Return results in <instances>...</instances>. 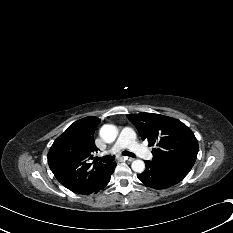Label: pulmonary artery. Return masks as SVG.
I'll list each match as a JSON object with an SVG mask.
<instances>
[{"label": "pulmonary artery", "instance_id": "obj_1", "mask_svg": "<svg viewBox=\"0 0 233 233\" xmlns=\"http://www.w3.org/2000/svg\"><path fill=\"white\" fill-rule=\"evenodd\" d=\"M123 149H129L144 159H151L152 157L150 151L138 143L136 133L131 127H125L121 130L120 136L110 152L116 154Z\"/></svg>", "mask_w": 233, "mask_h": 233}]
</instances>
